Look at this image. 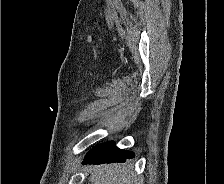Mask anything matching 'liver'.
Masks as SVG:
<instances>
[{
    "label": "liver",
    "mask_w": 224,
    "mask_h": 184,
    "mask_svg": "<svg viewBox=\"0 0 224 184\" xmlns=\"http://www.w3.org/2000/svg\"><path fill=\"white\" fill-rule=\"evenodd\" d=\"M91 184H133L132 167L125 164H109L88 167Z\"/></svg>",
    "instance_id": "6515ba94"
}]
</instances>
